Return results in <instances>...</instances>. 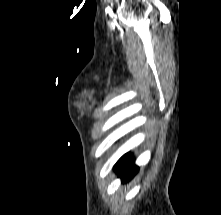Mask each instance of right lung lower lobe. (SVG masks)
I'll use <instances>...</instances> for the list:
<instances>
[{
	"mask_svg": "<svg viewBox=\"0 0 221 215\" xmlns=\"http://www.w3.org/2000/svg\"><path fill=\"white\" fill-rule=\"evenodd\" d=\"M115 171L122 178V182L126 183L131 180L138 172V167L134 164L129 153L120 158L114 167Z\"/></svg>",
	"mask_w": 221,
	"mask_h": 215,
	"instance_id": "right-lung-lower-lobe-1",
	"label": "right lung lower lobe"
}]
</instances>
